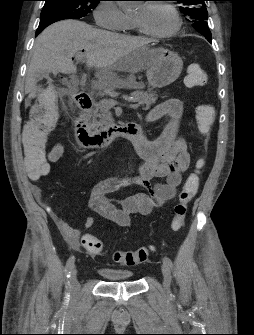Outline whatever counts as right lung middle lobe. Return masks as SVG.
Here are the masks:
<instances>
[{"label": "right lung middle lobe", "instance_id": "right-lung-middle-lobe-1", "mask_svg": "<svg viewBox=\"0 0 254 335\" xmlns=\"http://www.w3.org/2000/svg\"><path fill=\"white\" fill-rule=\"evenodd\" d=\"M40 18L62 16L79 19L94 9L100 0H44Z\"/></svg>", "mask_w": 254, "mask_h": 335}]
</instances>
